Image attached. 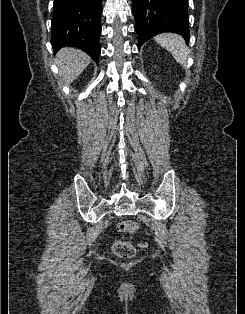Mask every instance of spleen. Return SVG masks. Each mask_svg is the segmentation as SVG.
Here are the masks:
<instances>
[{
	"label": "spleen",
	"mask_w": 245,
	"mask_h": 314,
	"mask_svg": "<svg viewBox=\"0 0 245 314\" xmlns=\"http://www.w3.org/2000/svg\"><path fill=\"white\" fill-rule=\"evenodd\" d=\"M154 40L164 49L168 50L174 59L182 66L187 65L188 48L184 39L174 33L157 35Z\"/></svg>",
	"instance_id": "3e777b00"
}]
</instances>
